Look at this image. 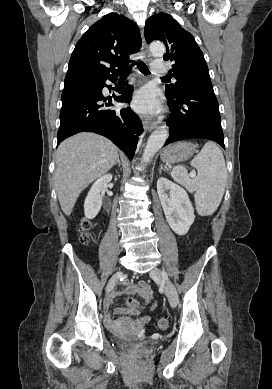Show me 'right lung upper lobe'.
Masks as SVG:
<instances>
[{
	"instance_id": "right-lung-upper-lobe-1",
	"label": "right lung upper lobe",
	"mask_w": 272,
	"mask_h": 389,
	"mask_svg": "<svg viewBox=\"0 0 272 389\" xmlns=\"http://www.w3.org/2000/svg\"><path fill=\"white\" fill-rule=\"evenodd\" d=\"M138 26L109 13L92 25L77 42L69 61L65 86L92 84L118 76L141 47ZM118 68V69H116Z\"/></svg>"
}]
</instances>
